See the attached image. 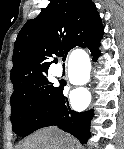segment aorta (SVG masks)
<instances>
[{"mask_svg": "<svg viewBox=\"0 0 124 149\" xmlns=\"http://www.w3.org/2000/svg\"><path fill=\"white\" fill-rule=\"evenodd\" d=\"M90 69V63L87 55L82 54L80 58L72 59L70 61V72L69 75L84 74L85 77H88Z\"/></svg>", "mask_w": 124, "mask_h": 149, "instance_id": "762f6f07", "label": "aorta"}]
</instances>
